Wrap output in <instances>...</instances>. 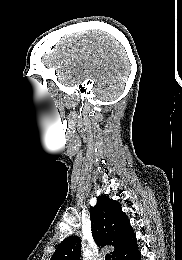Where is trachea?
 <instances>
[{"mask_svg": "<svg viewBox=\"0 0 182 260\" xmlns=\"http://www.w3.org/2000/svg\"><path fill=\"white\" fill-rule=\"evenodd\" d=\"M105 260H111V255L110 254H106L105 255Z\"/></svg>", "mask_w": 182, "mask_h": 260, "instance_id": "3493384b", "label": "trachea"}]
</instances>
